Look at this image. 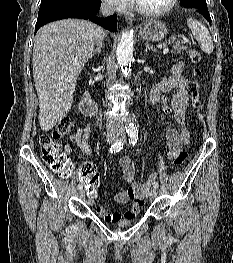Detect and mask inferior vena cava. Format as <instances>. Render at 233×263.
<instances>
[{
	"mask_svg": "<svg viewBox=\"0 0 233 263\" xmlns=\"http://www.w3.org/2000/svg\"><path fill=\"white\" fill-rule=\"evenodd\" d=\"M101 13L103 16L107 17L110 16L112 14H114L115 12V5L113 3V0H103L102 1V5H101ZM105 37V33L103 31V36L100 39L98 45L101 43L102 44V39ZM122 129V124L118 121L115 122H109L107 124V130L108 131H114V130H120Z\"/></svg>",
	"mask_w": 233,
	"mask_h": 263,
	"instance_id": "1",
	"label": "inferior vena cava"
}]
</instances>
